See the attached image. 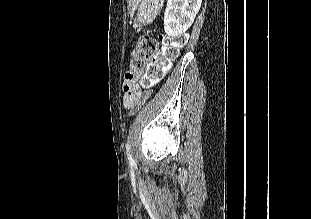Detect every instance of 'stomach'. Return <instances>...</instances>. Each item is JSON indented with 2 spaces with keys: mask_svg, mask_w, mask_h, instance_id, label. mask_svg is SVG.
Listing matches in <instances>:
<instances>
[{
  "mask_svg": "<svg viewBox=\"0 0 311 219\" xmlns=\"http://www.w3.org/2000/svg\"><path fill=\"white\" fill-rule=\"evenodd\" d=\"M140 5L135 23L138 26H146L153 22L157 16L163 0H139Z\"/></svg>",
  "mask_w": 311,
  "mask_h": 219,
  "instance_id": "stomach-1",
  "label": "stomach"
}]
</instances>
